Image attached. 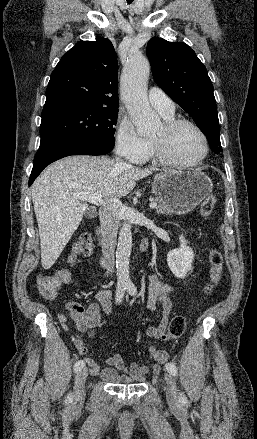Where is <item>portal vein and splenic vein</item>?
I'll list each match as a JSON object with an SVG mask.
<instances>
[{
	"mask_svg": "<svg viewBox=\"0 0 257 439\" xmlns=\"http://www.w3.org/2000/svg\"><path fill=\"white\" fill-rule=\"evenodd\" d=\"M74 197L82 201L90 202L97 206L103 205L104 203L101 194L98 193H78V194H74ZM149 206L151 209H154L157 207V203L151 202Z\"/></svg>",
	"mask_w": 257,
	"mask_h": 439,
	"instance_id": "portal-vein-and-splenic-vein-1",
	"label": "portal vein and splenic vein"
}]
</instances>
